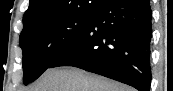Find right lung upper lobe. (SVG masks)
Returning <instances> with one entry per match:
<instances>
[{"mask_svg": "<svg viewBox=\"0 0 173 91\" xmlns=\"http://www.w3.org/2000/svg\"><path fill=\"white\" fill-rule=\"evenodd\" d=\"M102 0H30L29 8L23 16L24 28L40 21L68 14L96 10Z\"/></svg>", "mask_w": 173, "mask_h": 91, "instance_id": "cb5924a9", "label": "right lung upper lobe"}]
</instances>
